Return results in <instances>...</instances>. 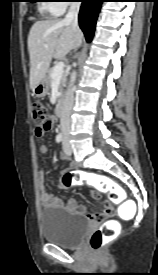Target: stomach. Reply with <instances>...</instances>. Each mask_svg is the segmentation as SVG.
I'll return each instance as SVG.
<instances>
[{
    "label": "stomach",
    "mask_w": 158,
    "mask_h": 275,
    "mask_svg": "<svg viewBox=\"0 0 158 275\" xmlns=\"http://www.w3.org/2000/svg\"><path fill=\"white\" fill-rule=\"evenodd\" d=\"M49 90L47 75L36 85L33 93L36 97H44Z\"/></svg>",
    "instance_id": "0dacf381"
}]
</instances>
